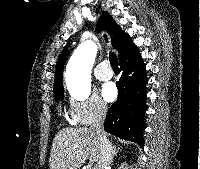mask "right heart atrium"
<instances>
[{"instance_id":"obj_1","label":"right heart atrium","mask_w":200,"mask_h":169,"mask_svg":"<svg viewBox=\"0 0 200 169\" xmlns=\"http://www.w3.org/2000/svg\"><path fill=\"white\" fill-rule=\"evenodd\" d=\"M68 113L73 124L87 126L104 119L108 106L97 95H91L82 100H71Z\"/></svg>"}]
</instances>
